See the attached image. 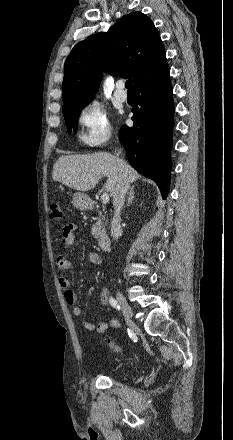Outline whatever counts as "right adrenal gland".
I'll return each instance as SVG.
<instances>
[{
	"mask_svg": "<svg viewBox=\"0 0 233 440\" xmlns=\"http://www.w3.org/2000/svg\"><path fill=\"white\" fill-rule=\"evenodd\" d=\"M134 186H132L131 188H130V191H129V196H128V200H127V203H126V206L128 207V206H130V204L132 203V201L134 200Z\"/></svg>",
	"mask_w": 233,
	"mask_h": 440,
	"instance_id": "obj_1",
	"label": "right adrenal gland"
}]
</instances>
